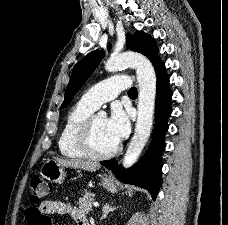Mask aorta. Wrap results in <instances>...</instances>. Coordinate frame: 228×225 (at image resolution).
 I'll use <instances>...</instances> for the list:
<instances>
[{"label":"aorta","instance_id":"aorta-1","mask_svg":"<svg viewBox=\"0 0 228 225\" xmlns=\"http://www.w3.org/2000/svg\"><path fill=\"white\" fill-rule=\"evenodd\" d=\"M125 66L136 68L140 88L136 129L123 161V167L129 169L136 163L151 135L156 94V74L152 62L139 52L111 54L105 62V70H108V72H115V70L125 68ZM98 115L106 117L105 110H99Z\"/></svg>","mask_w":228,"mask_h":225}]
</instances>
